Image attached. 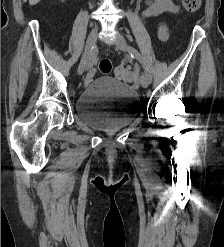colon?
Here are the masks:
<instances>
[{
	"label": "colon",
	"instance_id": "5ec220e1",
	"mask_svg": "<svg viewBox=\"0 0 224 247\" xmlns=\"http://www.w3.org/2000/svg\"><path fill=\"white\" fill-rule=\"evenodd\" d=\"M202 0H182L183 6L187 12L194 13L201 7ZM98 69L102 74H109L112 71V63L109 59L103 58L98 63ZM118 79L133 83L136 80L135 72L126 69L123 65L116 67L114 70Z\"/></svg>",
	"mask_w": 224,
	"mask_h": 247
}]
</instances>
